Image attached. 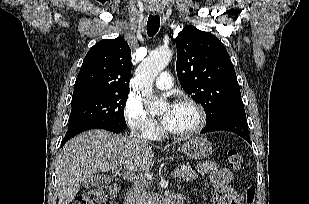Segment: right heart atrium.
I'll return each instance as SVG.
<instances>
[{
  "instance_id": "d8ad5b80",
  "label": "right heart atrium",
  "mask_w": 309,
  "mask_h": 204,
  "mask_svg": "<svg viewBox=\"0 0 309 204\" xmlns=\"http://www.w3.org/2000/svg\"><path fill=\"white\" fill-rule=\"evenodd\" d=\"M125 118L131 130L146 139H154L159 134V125L149 116L142 103L128 98L125 104Z\"/></svg>"
}]
</instances>
